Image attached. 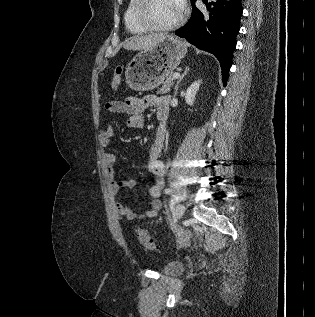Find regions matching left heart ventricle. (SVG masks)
<instances>
[{
	"mask_svg": "<svg viewBox=\"0 0 315 317\" xmlns=\"http://www.w3.org/2000/svg\"><path fill=\"white\" fill-rule=\"evenodd\" d=\"M181 11L177 0H152L147 15L157 25H169L179 18Z\"/></svg>",
	"mask_w": 315,
	"mask_h": 317,
	"instance_id": "b2bd125f",
	"label": "left heart ventricle"
}]
</instances>
